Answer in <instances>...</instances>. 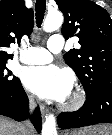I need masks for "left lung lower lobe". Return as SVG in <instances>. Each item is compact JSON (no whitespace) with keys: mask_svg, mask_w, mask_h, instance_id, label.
Returning a JSON list of instances; mask_svg holds the SVG:
<instances>
[{"mask_svg":"<svg viewBox=\"0 0 112 135\" xmlns=\"http://www.w3.org/2000/svg\"><path fill=\"white\" fill-rule=\"evenodd\" d=\"M98 123H112V84L102 86L87 95L84 105L75 112L58 116L62 129L79 128Z\"/></svg>","mask_w":112,"mask_h":135,"instance_id":"left-lung-lower-lobe-1","label":"left lung lower lobe"}]
</instances>
